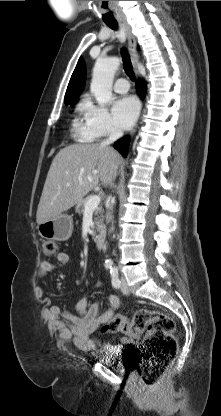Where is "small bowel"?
I'll use <instances>...</instances> for the list:
<instances>
[{"instance_id": "obj_1", "label": "small bowel", "mask_w": 221, "mask_h": 416, "mask_svg": "<svg viewBox=\"0 0 221 416\" xmlns=\"http://www.w3.org/2000/svg\"><path fill=\"white\" fill-rule=\"evenodd\" d=\"M57 264L46 260L39 261L40 274H46L66 265L70 257L66 252L60 251L56 255ZM100 282L95 288L100 287ZM120 299L116 295L108 297V308L101 309L98 302L90 303L88 294L83 295L77 302V314L63 310L59 306H51L45 311L48 324L58 332V337L63 342L71 343L79 350L91 351L99 346V340L95 337L97 329L111 319L120 308ZM114 345L106 343L102 348L110 352Z\"/></svg>"}]
</instances>
